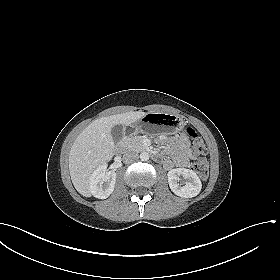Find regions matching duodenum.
I'll list each match as a JSON object with an SVG mask.
<instances>
[{
  "mask_svg": "<svg viewBox=\"0 0 280 280\" xmlns=\"http://www.w3.org/2000/svg\"><path fill=\"white\" fill-rule=\"evenodd\" d=\"M117 149H118V151H121L123 149V145L118 146ZM151 156L154 158H157V159L160 157V155L156 152H151Z\"/></svg>",
  "mask_w": 280,
  "mask_h": 280,
  "instance_id": "410a0bca",
  "label": "duodenum"
}]
</instances>
